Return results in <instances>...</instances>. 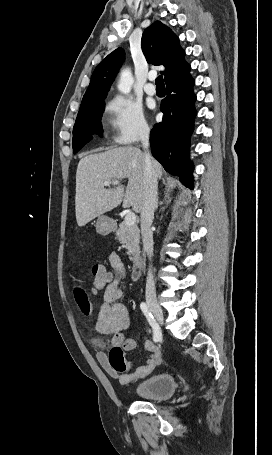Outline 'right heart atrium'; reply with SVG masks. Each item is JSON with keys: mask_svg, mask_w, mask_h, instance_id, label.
<instances>
[{"mask_svg": "<svg viewBox=\"0 0 272 455\" xmlns=\"http://www.w3.org/2000/svg\"><path fill=\"white\" fill-rule=\"evenodd\" d=\"M107 113L113 131V140L130 145L147 137L149 126L142 108L132 100L116 97L108 102Z\"/></svg>", "mask_w": 272, "mask_h": 455, "instance_id": "obj_1", "label": "right heart atrium"}]
</instances>
